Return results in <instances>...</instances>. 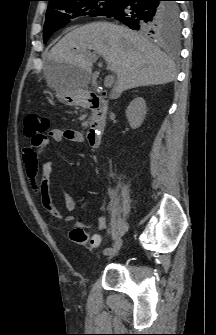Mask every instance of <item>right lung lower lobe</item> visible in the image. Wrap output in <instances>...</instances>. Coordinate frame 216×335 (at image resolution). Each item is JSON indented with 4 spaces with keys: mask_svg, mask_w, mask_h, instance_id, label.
I'll return each instance as SVG.
<instances>
[{
    "mask_svg": "<svg viewBox=\"0 0 216 335\" xmlns=\"http://www.w3.org/2000/svg\"><path fill=\"white\" fill-rule=\"evenodd\" d=\"M106 16L156 36L180 22L178 7L171 0H120Z\"/></svg>",
    "mask_w": 216,
    "mask_h": 335,
    "instance_id": "obj_1",
    "label": "right lung lower lobe"
}]
</instances>
